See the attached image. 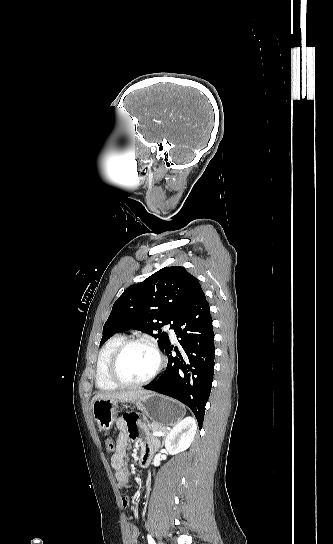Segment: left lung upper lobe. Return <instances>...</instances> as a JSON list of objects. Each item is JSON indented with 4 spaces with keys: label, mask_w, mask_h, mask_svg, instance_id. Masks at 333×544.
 <instances>
[{
    "label": "left lung upper lobe",
    "mask_w": 333,
    "mask_h": 544,
    "mask_svg": "<svg viewBox=\"0 0 333 544\" xmlns=\"http://www.w3.org/2000/svg\"><path fill=\"white\" fill-rule=\"evenodd\" d=\"M203 294L199 281L184 267H165L129 286L116 300L103 327V344L111 335L126 329H136L158 338L165 349L169 336L161 327L174 328L188 307Z\"/></svg>",
    "instance_id": "left-lung-upper-lobe-1"
}]
</instances>
